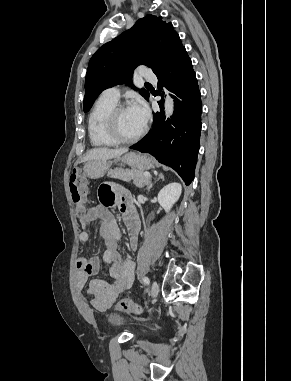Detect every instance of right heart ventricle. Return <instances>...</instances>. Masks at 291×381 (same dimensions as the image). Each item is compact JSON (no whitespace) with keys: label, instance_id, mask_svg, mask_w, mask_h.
<instances>
[{"label":"right heart ventricle","instance_id":"obj_1","mask_svg":"<svg viewBox=\"0 0 291 381\" xmlns=\"http://www.w3.org/2000/svg\"><path fill=\"white\" fill-rule=\"evenodd\" d=\"M117 104V100L103 97L102 95L94 103L88 117V136L93 147H113L114 142L105 132V119L110 110Z\"/></svg>","mask_w":291,"mask_h":381}]
</instances>
